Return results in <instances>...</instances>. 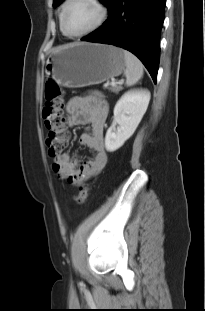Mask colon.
<instances>
[{"mask_svg":"<svg viewBox=\"0 0 205 311\" xmlns=\"http://www.w3.org/2000/svg\"><path fill=\"white\" fill-rule=\"evenodd\" d=\"M44 93L42 116L48 131L46 145L49 155L55 158L64 152L70 137L64 126L63 91L54 81H48L45 84ZM88 195L89 186L83 185L74 196V201L82 204L87 200Z\"/></svg>","mask_w":205,"mask_h":311,"instance_id":"5ec220e1","label":"colon"}]
</instances>
